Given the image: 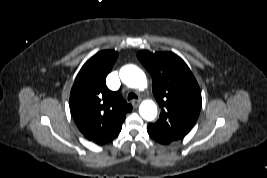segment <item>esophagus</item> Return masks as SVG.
I'll use <instances>...</instances> for the list:
<instances>
[{"label": "esophagus", "instance_id": "esophagus-1", "mask_svg": "<svg viewBox=\"0 0 267 178\" xmlns=\"http://www.w3.org/2000/svg\"><path fill=\"white\" fill-rule=\"evenodd\" d=\"M140 102H141V99H134V100H132V105L134 107H138Z\"/></svg>", "mask_w": 267, "mask_h": 178}]
</instances>
